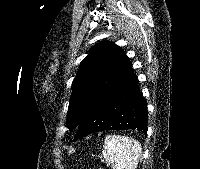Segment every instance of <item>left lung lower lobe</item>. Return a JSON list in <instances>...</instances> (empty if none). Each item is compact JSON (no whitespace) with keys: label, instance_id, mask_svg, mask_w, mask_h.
<instances>
[{"label":"left lung lower lobe","instance_id":"0a47b994","mask_svg":"<svg viewBox=\"0 0 200 169\" xmlns=\"http://www.w3.org/2000/svg\"><path fill=\"white\" fill-rule=\"evenodd\" d=\"M112 129H131L147 134V102L135 75L93 105L77 127L74 141Z\"/></svg>","mask_w":200,"mask_h":169}]
</instances>
